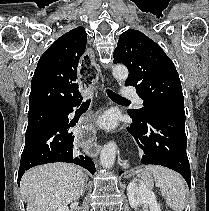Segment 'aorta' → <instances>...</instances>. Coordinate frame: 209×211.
<instances>
[{
    "label": "aorta",
    "mask_w": 209,
    "mask_h": 211,
    "mask_svg": "<svg viewBox=\"0 0 209 211\" xmlns=\"http://www.w3.org/2000/svg\"><path fill=\"white\" fill-rule=\"evenodd\" d=\"M128 69L124 65H116L113 67L112 74L117 80L125 81L128 77ZM116 143L113 141L104 145L100 154V163L102 167L110 169L115 162Z\"/></svg>",
    "instance_id": "1"
}]
</instances>
